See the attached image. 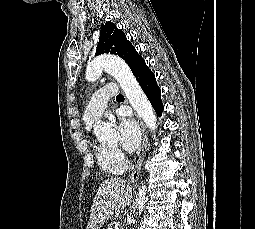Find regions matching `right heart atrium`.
Listing matches in <instances>:
<instances>
[{
	"label": "right heart atrium",
	"mask_w": 255,
	"mask_h": 229,
	"mask_svg": "<svg viewBox=\"0 0 255 229\" xmlns=\"http://www.w3.org/2000/svg\"><path fill=\"white\" fill-rule=\"evenodd\" d=\"M115 153L120 157L123 158V154L119 149H115Z\"/></svg>",
	"instance_id": "d8ad5b80"
}]
</instances>
